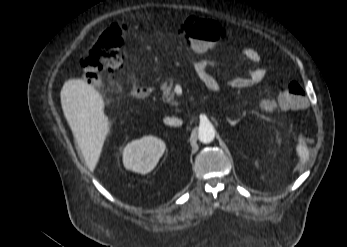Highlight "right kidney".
Returning <instances> with one entry per match:
<instances>
[{
  "label": "right kidney",
  "mask_w": 347,
  "mask_h": 247,
  "mask_svg": "<svg viewBox=\"0 0 347 247\" xmlns=\"http://www.w3.org/2000/svg\"><path fill=\"white\" fill-rule=\"evenodd\" d=\"M166 149L165 143L154 136H144L129 143L123 150L126 169L140 174L152 171Z\"/></svg>",
  "instance_id": "obj_1"
}]
</instances>
